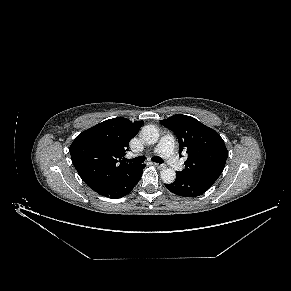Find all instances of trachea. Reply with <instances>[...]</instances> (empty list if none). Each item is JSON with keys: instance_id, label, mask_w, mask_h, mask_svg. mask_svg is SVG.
<instances>
[{"instance_id": "1", "label": "trachea", "mask_w": 291, "mask_h": 291, "mask_svg": "<svg viewBox=\"0 0 291 291\" xmlns=\"http://www.w3.org/2000/svg\"><path fill=\"white\" fill-rule=\"evenodd\" d=\"M144 160H145V158H144L143 156H139V157H136V158L130 159V160H128V161H130V162H134V163H143ZM151 160H152L153 162L160 163V164H162V162H163L162 159H161L160 157H158V156H154V157H152Z\"/></svg>"}]
</instances>
